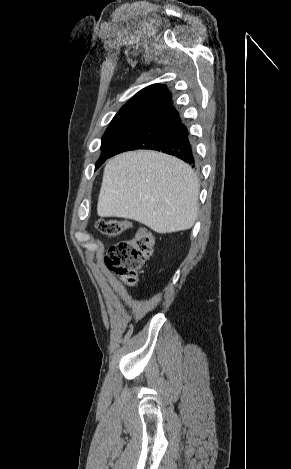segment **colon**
<instances>
[{"label":"colon","mask_w":291,"mask_h":469,"mask_svg":"<svg viewBox=\"0 0 291 469\" xmlns=\"http://www.w3.org/2000/svg\"><path fill=\"white\" fill-rule=\"evenodd\" d=\"M97 229L104 235L116 237L130 227L126 220L102 219L97 222ZM154 237L146 227H140L126 240L112 244L105 256V264L125 284L134 286L138 272L147 263L153 252Z\"/></svg>","instance_id":"colon-1"}]
</instances>
